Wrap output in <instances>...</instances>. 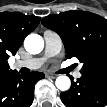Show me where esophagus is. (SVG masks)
<instances>
[{"instance_id": "esophagus-1", "label": "esophagus", "mask_w": 107, "mask_h": 107, "mask_svg": "<svg viewBox=\"0 0 107 107\" xmlns=\"http://www.w3.org/2000/svg\"><path fill=\"white\" fill-rule=\"evenodd\" d=\"M46 76L50 77V78H56L57 77V75L51 74V73H47Z\"/></svg>"}]
</instances>
